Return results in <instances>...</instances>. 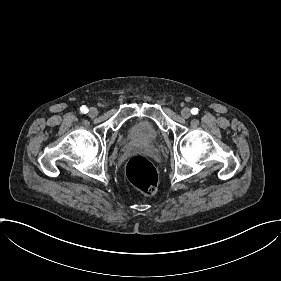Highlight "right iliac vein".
Masks as SVG:
<instances>
[{"instance_id": "right-iliac-vein-1", "label": "right iliac vein", "mask_w": 281, "mask_h": 281, "mask_svg": "<svg viewBox=\"0 0 281 281\" xmlns=\"http://www.w3.org/2000/svg\"><path fill=\"white\" fill-rule=\"evenodd\" d=\"M89 115H90L91 117H96V116L98 115V110H97L96 108H91V109L89 110Z\"/></svg>"}]
</instances>
